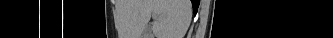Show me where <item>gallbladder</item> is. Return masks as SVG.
<instances>
[{
  "label": "gallbladder",
  "mask_w": 333,
  "mask_h": 38,
  "mask_svg": "<svg viewBox=\"0 0 333 38\" xmlns=\"http://www.w3.org/2000/svg\"><path fill=\"white\" fill-rule=\"evenodd\" d=\"M151 37V28L147 26L142 32V38H150Z\"/></svg>",
  "instance_id": "1"
}]
</instances>
